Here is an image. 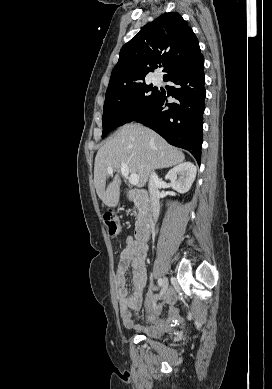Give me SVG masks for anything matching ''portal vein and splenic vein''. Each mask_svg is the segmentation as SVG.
<instances>
[{"instance_id":"obj_1","label":"portal vein and splenic vein","mask_w":272,"mask_h":389,"mask_svg":"<svg viewBox=\"0 0 272 389\" xmlns=\"http://www.w3.org/2000/svg\"><path fill=\"white\" fill-rule=\"evenodd\" d=\"M107 172L109 174H112L113 173V168L112 167H108L107 168ZM121 173L125 177L129 176V168H128L127 164H125V163L121 164ZM129 182L132 185H137L139 183L138 175L136 173H131L130 176H129Z\"/></svg>"}]
</instances>
